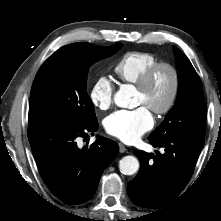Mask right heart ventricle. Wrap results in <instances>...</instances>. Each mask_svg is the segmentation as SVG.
<instances>
[{"instance_id":"e07e8e85","label":"right heart ventricle","mask_w":221,"mask_h":221,"mask_svg":"<svg viewBox=\"0 0 221 221\" xmlns=\"http://www.w3.org/2000/svg\"><path fill=\"white\" fill-rule=\"evenodd\" d=\"M158 60L157 56L149 52H128L116 62L114 73L120 81L136 84L142 74Z\"/></svg>"}]
</instances>
